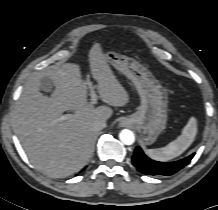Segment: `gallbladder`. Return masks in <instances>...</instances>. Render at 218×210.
I'll use <instances>...</instances> for the list:
<instances>
[{
  "mask_svg": "<svg viewBox=\"0 0 218 210\" xmlns=\"http://www.w3.org/2000/svg\"><path fill=\"white\" fill-rule=\"evenodd\" d=\"M40 89L46 93H51L53 91L52 81L46 77L42 78Z\"/></svg>",
  "mask_w": 218,
  "mask_h": 210,
  "instance_id": "gallbladder-1",
  "label": "gallbladder"
}]
</instances>
